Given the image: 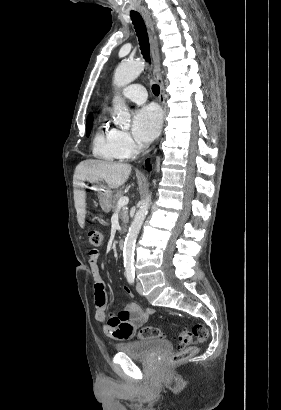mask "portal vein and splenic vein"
<instances>
[{
    "instance_id": "18ae733b",
    "label": "portal vein and splenic vein",
    "mask_w": 281,
    "mask_h": 410,
    "mask_svg": "<svg viewBox=\"0 0 281 410\" xmlns=\"http://www.w3.org/2000/svg\"><path fill=\"white\" fill-rule=\"evenodd\" d=\"M128 202H129V198L126 197V196H123L118 200L117 206L118 207L126 206L128 204Z\"/></svg>"
}]
</instances>
